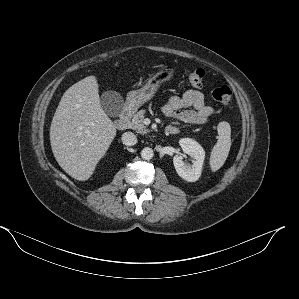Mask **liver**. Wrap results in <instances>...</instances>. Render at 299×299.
<instances>
[{
	"label": "liver",
	"mask_w": 299,
	"mask_h": 299,
	"mask_svg": "<svg viewBox=\"0 0 299 299\" xmlns=\"http://www.w3.org/2000/svg\"><path fill=\"white\" fill-rule=\"evenodd\" d=\"M98 83L88 76L66 90L50 127L52 152L59 166L79 181L88 180L116 136L102 109Z\"/></svg>",
	"instance_id": "obj_1"
}]
</instances>
